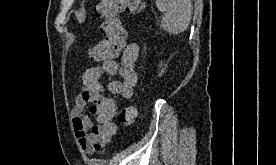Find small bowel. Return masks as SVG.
Wrapping results in <instances>:
<instances>
[{
  "instance_id": "small-bowel-1",
  "label": "small bowel",
  "mask_w": 276,
  "mask_h": 165,
  "mask_svg": "<svg viewBox=\"0 0 276 165\" xmlns=\"http://www.w3.org/2000/svg\"><path fill=\"white\" fill-rule=\"evenodd\" d=\"M139 51L138 44L131 42L124 48L119 63L115 60L104 61L82 74L81 90L72 109V121L77 141L85 153L91 155L100 152L116 133L117 128L113 122L116 103L106 96V92L125 99L132 98L138 81L136 62ZM117 74L120 75V80L110 81L106 86L101 83L103 75ZM87 106L90 114L95 117L96 124L84 114Z\"/></svg>"
}]
</instances>
